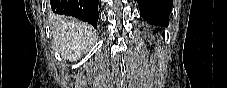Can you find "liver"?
<instances>
[{
	"instance_id": "1",
	"label": "liver",
	"mask_w": 227,
	"mask_h": 88,
	"mask_svg": "<svg viewBox=\"0 0 227 88\" xmlns=\"http://www.w3.org/2000/svg\"><path fill=\"white\" fill-rule=\"evenodd\" d=\"M53 35L59 54L70 61L81 58L96 39L92 26L62 17H57L53 23Z\"/></svg>"
}]
</instances>
